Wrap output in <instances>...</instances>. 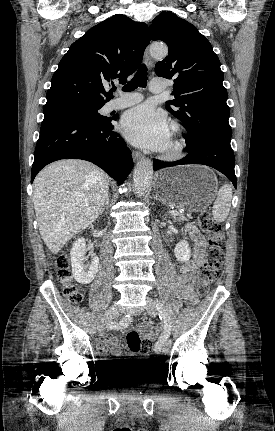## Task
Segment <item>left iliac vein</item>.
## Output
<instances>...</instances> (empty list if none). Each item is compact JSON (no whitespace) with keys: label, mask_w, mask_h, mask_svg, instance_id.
<instances>
[{"label":"left iliac vein","mask_w":275,"mask_h":431,"mask_svg":"<svg viewBox=\"0 0 275 431\" xmlns=\"http://www.w3.org/2000/svg\"><path fill=\"white\" fill-rule=\"evenodd\" d=\"M147 301V305H146V311L147 313L151 316V317H155L157 315V302L150 298L147 297L146 299ZM171 349V342L170 341H166L165 344L162 347V351L164 353H168Z\"/></svg>","instance_id":"obj_1"}]
</instances>
